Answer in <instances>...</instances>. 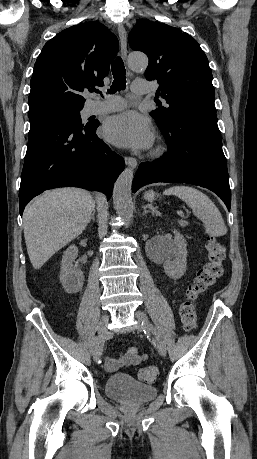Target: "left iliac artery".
I'll list each match as a JSON object with an SVG mask.
<instances>
[{"instance_id": "1", "label": "left iliac artery", "mask_w": 257, "mask_h": 459, "mask_svg": "<svg viewBox=\"0 0 257 459\" xmlns=\"http://www.w3.org/2000/svg\"><path fill=\"white\" fill-rule=\"evenodd\" d=\"M151 329L153 330V328L151 327ZM154 334L156 335V339L158 338V335L157 333L154 331Z\"/></svg>"}]
</instances>
